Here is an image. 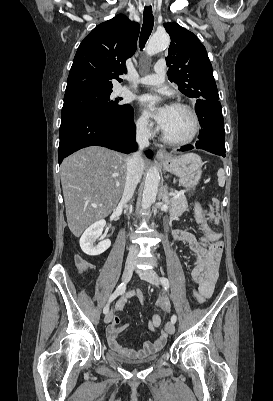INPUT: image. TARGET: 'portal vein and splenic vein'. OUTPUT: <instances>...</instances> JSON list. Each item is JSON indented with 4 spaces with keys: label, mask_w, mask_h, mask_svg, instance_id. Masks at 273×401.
<instances>
[{
    "label": "portal vein and splenic vein",
    "mask_w": 273,
    "mask_h": 401,
    "mask_svg": "<svg viewBox=\"0 0 273 401\" xmlns=\"http://www.w3.org/2000/svg\"><path fill=\"white\" fill-rule=\"evenodd\" d=\"M182 196H183V190H182V189H179L178 192H177V194L174 195V200H177V199H179V198L182 197Z\"/></svg>",
    "instance_id": "1"
}]
</instances>
